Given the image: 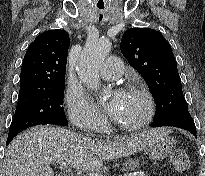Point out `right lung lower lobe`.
Wrapping results in <instances>:
<instances>
[{
  "instance_id": "1",
  "label": "right lung lower lobe",
  "mask_w": 205,
  "mask_h": 176,
  "mask_svg": "<svg viewBox=\"0 0 205 176\" xmlns=\"http://www.w3.org/2000/svg\"><path fill=\"white\" fill-rule=\"evenodd\" d=\"M11 140H12V139H9L6 144L8 145V144L11 142Z\"/></svg>"
}]
</instances>
